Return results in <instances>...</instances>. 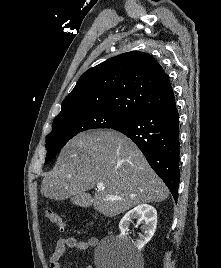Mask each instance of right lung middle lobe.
Returning a JSON list of instances; mask_svg holds the SVG:
<instances>
[{"label":"right lung middle lobe","instance_id":"right-lung-middle-lobe-1","mask_svg":"<svg viewBox=\"0 0 221 268\" xmlns=\"http://www.w3.org/2000/svg\"><path fill=\"white\" fill-rule=\"evenodd\" d=\"M129 120L130 118L123 114L106 109L59 114L53 121L51 133L46 138L45 163L78 133L96 128H113Z\"/></svg>","mask_w":221,"mask_h":268}]
</instances>
